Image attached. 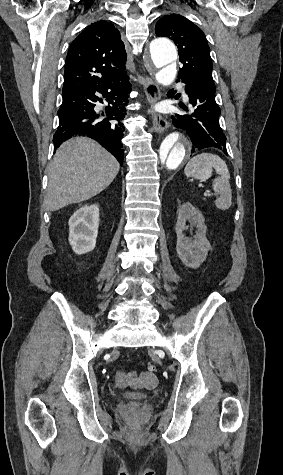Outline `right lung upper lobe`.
Returning <instances> with one entry per match:
<instances>
[{"mask_svg":"<svg viewBox=\"0 0 283 475\" xmlns=\"http://www.w3.org/2000/svg\"><path fill=\"white\" fill-rule=\"evenodd\" d=\"M126 59L118 29L107 21L94 22L69 47L63 90L118 80L126 76Z\"/></svg>","mask_w":283,"mask_h":475,"instance_id":"right-lung-upper-lobe-1","label":"right lung upper lobe"}]
</instances>
